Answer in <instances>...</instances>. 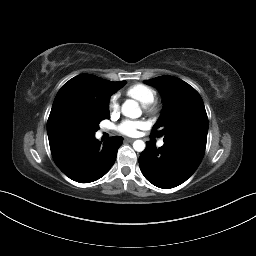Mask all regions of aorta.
<instances>
[{
  "mask_svg": "<svg viewBox=\"0 0 256 256\" xmlns=\"http://www.w3.org/2000/svg\"><path fill=\"white\" fill-rule=\"evenodd\" d=\"M121 112L124 116L135 119L141 116L142 111L138 103L134 100H126L121 108ZM133 148L137 152H142L145 149V143L142 140H136L133 142Z\"/></svg>",
  "mask_w": 256,
  "mask_h": 256,
  "instance_id": "762f6f07",
  "label": "aorta"
}]
</instances>
